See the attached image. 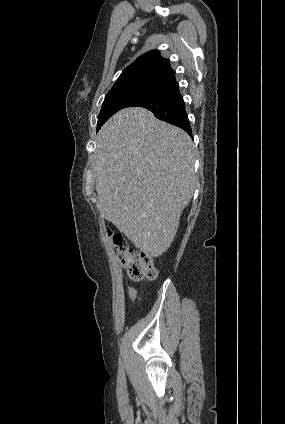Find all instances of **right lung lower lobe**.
<instances>
[{"label": "right lung lower lobe", "mask_w": 285, "mask_h": 424, "mask_svg": "<svg viewBox=\"0 0 285 424\" xmlns=\"http://www.w3.org/2000/svg\"><path fill=\"white\" fill-rule=\"evenodd\" d=\"M127 107L146 108L158 119L178 126L192 136L184 100L175 80L163 85L150 95L132 101Z\"/></svg>", "instance_id": "right-lung-lower-lobe-1"}]
</instances>
